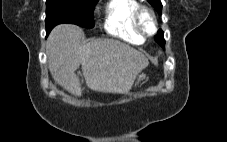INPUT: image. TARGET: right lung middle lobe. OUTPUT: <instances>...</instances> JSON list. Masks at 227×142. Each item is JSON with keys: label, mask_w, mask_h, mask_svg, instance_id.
<instances>
[{"label": "right lung middle lobe", "mask_w": 227, "mask_h": 142, "mask_svg": "<svg viewBox=\"0 0 227 142\" xmlns=\"http://www.w3.org/2000/svg\"><path fill=\"white\" fill-rule=\"evenodd\" d=\"M98 0H47L46 32L58 24L72 23L85 28L94 27L93 10Z\"/></svg>", "instance_id": "dd1d6c3e"}]
</instances>
